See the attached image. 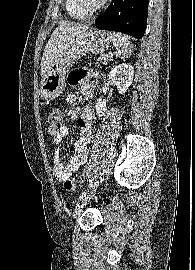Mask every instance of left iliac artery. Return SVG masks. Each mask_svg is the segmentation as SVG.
<instances>
[{"mask_svg":"<svg viewBox=\"0 0 195 270\" xmlns=\"http://www.w3.org/2000/svg\"><path fill=\"white\" fill-rule=\"evenodd\" d=\"M85 196H86V192H83V193L79 196V198H78V200H77V203H79Z\"/></svg>","mask_w":195,"mask_h":270,"instance_id":"left-iliac-artery-1","label":"left iliac artery"}]
</instances>
